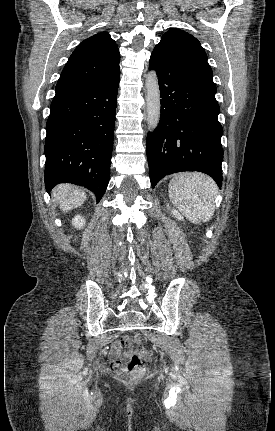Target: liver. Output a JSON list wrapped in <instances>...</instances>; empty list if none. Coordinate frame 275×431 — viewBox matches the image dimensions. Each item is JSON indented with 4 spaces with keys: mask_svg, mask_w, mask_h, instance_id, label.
<instances>
[{
    "mask_svg": "<svg viewBox=\"0 0 275 431\" xmlns=\"http://www.w3.org/2000/svg\"><path fill=\"white\" fill-rule=\"evenodd\" d=\"M52 195L54 200L60 203V208L64 212L81 206L87 198L85 192L81 188L71 184H60L56 186Z\"/></svg>",
    "mask_w": 275,
    "mask_h": 431,
    "instance_id": "obj_1",
    "label": "liver"
}]
</instances>
